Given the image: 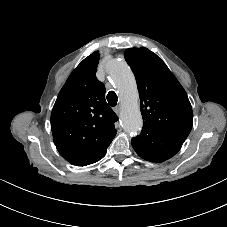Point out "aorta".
Here are the masks:
<instances>
[{
    "label": "aorta",
    "mask_w": 227,
    "mask_h": 227,
    "mask_svg": "<svg viewBox=\"0 0 227 227\" xmlns=\"http://www.w3.org/2000/svg\"><path fill=\"white\" fill-rule=\"evenodd\" d=\"M122 102L120 120L127 133L137 134L143 125V120L138 104V90L133 73L128 64L121 59H112L106 67Z\"/></svg>",
    "instance_id": "obj_1"
}]
</instances>
